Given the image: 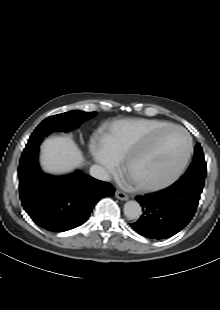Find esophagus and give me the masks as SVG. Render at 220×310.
Masks as SVG:
<instances>
[{"mask_svg": "<svg viewBox=\"0 0 220 310\" xmlns=\"http://www.w3.org/2000/svg\"><path fill=\"white\" fill-rule=\"evenodd\" d=\"M115 196L116 198L120 200H124V201L129 199V196L126 193L118 191V190L115 192Z\"/></svg>", "mask_w": 220, "mask_h": 310, "instance_id": "esophagus-1", "label": "esophagus"}]
</instances>
